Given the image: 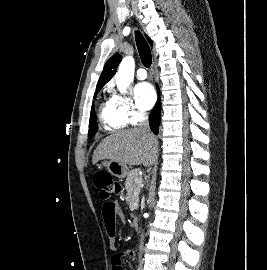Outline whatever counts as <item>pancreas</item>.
<instances>
[{
	"label": "pancreas",
	"instance_id": "obj_1",
	"mask_svg": "<svg viewBox=\"0 0 267 270\" xmlns=\"http://www.w3.org/2000/svg\"><path fill=\"white\" fill-rule=\"evenodd\" d=\"M136 178H140L139 169L131 170L127 174L125 181V189L127 191V199L130 204L138 201V195L140 192V183L135 182Z\"/></svg>",
	"mask_w": 267,
	"mask_h": 270
}]
</instances>
